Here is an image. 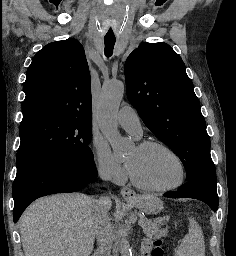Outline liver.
<instances>
[{"mask_svg": "<svg viewBox=\"0 0 236 256\" xmlns=\"http://www.w3.org/2000/svg\"><path fill=\"white\" fill-rule=\"evenodd\" d=\"M85 194H57L33 202L19 220L25 256H90L96 228L108 222Z\"/></svg>", "mask_w": 236, "mask_h": 256, "instance_id": "1", "label": "liver"}]
</instances>
